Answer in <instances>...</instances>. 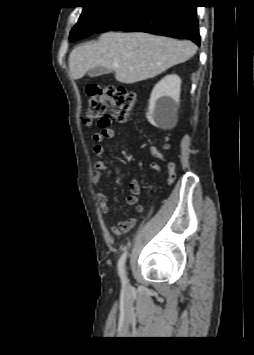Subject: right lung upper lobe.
Segmentation results:
<instances>
[{"label":"right lung upper lobe","instance_id":"1","mask_svg":"<svg viewBox=\"0 0 254 355\" xmlns=\"http://www.w3.org/2000/svg\"><path fill=\"white\" fill-rule=\"evenodd\" d=\"M89 2H94V1H99V0H88ZM117 2H121V3H125V2H128V1H131V0H115Z\"/></svg>","mask_w":254,"mask_h":355}]
</instances>
